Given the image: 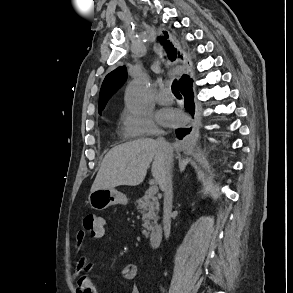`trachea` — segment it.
<instances>
[{
	"mask_svg": "<svg viewBox=\"0 0 293 293\" xmlns=\"http://www.w3.org/2000/svg\"><path fill=\"white\" fill-rule=\"evenodd\" d=\"M172 92L175 95H180L179 90H178V82H177V80H174L173 83H172Z\"/></svg>",
	"mask_w": 293,
	"mask_h": 293,
	"instance_id": "3493384b",
	"label": "trachea"
}]
</instances>
